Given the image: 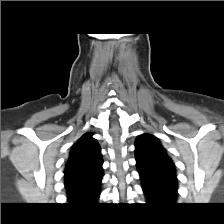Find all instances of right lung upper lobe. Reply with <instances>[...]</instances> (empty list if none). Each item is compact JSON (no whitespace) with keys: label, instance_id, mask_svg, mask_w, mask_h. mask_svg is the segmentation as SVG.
<instances>
[{"label":"right lung upper lobe","instance_id":"obj_1","mask_svg":"<svg viewBox=\"0 0 224 224\" xmlns=\"http://www.w3.org/2000/svg\"><path fill=\"white\" fill-rule=\"evenodd\" d=\"M92 133L84 134L72 147L64 170L71 202H89L100 192L103 177L101 148Z\"/></svg>","mask_w":224,"mask_h":224}]
</instances>
